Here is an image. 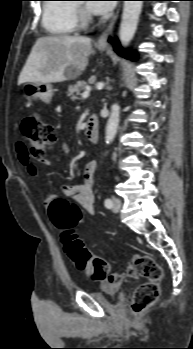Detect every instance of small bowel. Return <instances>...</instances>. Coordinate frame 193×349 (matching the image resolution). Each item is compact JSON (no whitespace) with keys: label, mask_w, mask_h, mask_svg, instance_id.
Instances as JSON below:
<instances>
[{"label":"small bowel","mask_w":193,"mask_h":349,"mask_svg":"<svg viewBox=\"0 0 193 349\" xmlns=\"http://www.w3.org/2000/svg\"><path fill=\"white\" fill-rule=\"evenodd\" d=\"M61 151L64 155H69L70 147L67 143H62ZM17 153L20 163L33 175L36 174V169L31 163L30 158L25 153L22 143L17 144ZM96 171V162L90 161L86 164L83 170V184L79 186L63 185L61 194L63 197H70L78 202L83 210L89 214H94V174ZM59 198L58 195H48L44 200V205L49 207L52 201ZM137 277V272L133 265L128 264L122 271L110 274L102 281V287L109 291L116 290L126 279Z\"/></svg>","instance_id":"small-bowel-1"}]
</instances>
